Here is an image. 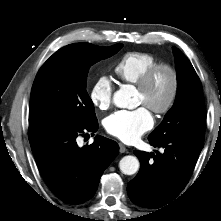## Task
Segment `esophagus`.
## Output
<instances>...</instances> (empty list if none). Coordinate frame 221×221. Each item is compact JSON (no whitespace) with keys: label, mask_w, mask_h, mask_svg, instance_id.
<instances>
[{"label":"esophagus","mask_w":221,"mask_h":221,"mask_svg":"<svg viewBox=\"0 0 221 221\" xmlns=\"http://www.w3.org/2000/svg\"><path fill=\"white\" fill-rule=\"evenodd\" d=\"M119 150L121 153H124L127 151V148L123 143H119Z\"/></svg>","instance_id":"esophagus-1"}]
</instances>
